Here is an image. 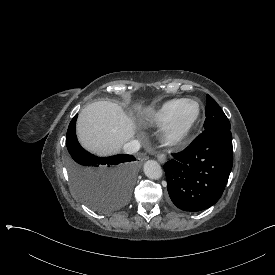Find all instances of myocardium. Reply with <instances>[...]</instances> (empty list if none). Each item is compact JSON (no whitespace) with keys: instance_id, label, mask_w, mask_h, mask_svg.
Returning <instances> with one entry per match:
<instances>
[{"instance_id":"obj_1","label":"myocardium","mask_w":275,"mask_h":275,"mask_svg":"<svg viewBox=\"0 0 275 275\" xmlns=\"http://www.w3.org/2000/svg\"><path fill=\"white\" fill-rule=\"evenodd\" d=\"M191 104L195 107V114L192 119L186 123L181 124L178 122L177 113L182 105ZM200 117V106L196 101L191 99L182 100L178 105L172 110L169 120L166 124V136L165 139L168 143L177 144L184 140L194 129Z\"/></svg>"}]
</instances>
